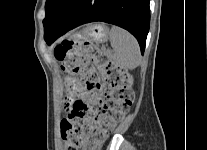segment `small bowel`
I'll use <instances>...</instances> for the list:
<instances>
[{
  "instance_id": "1",
  "label": "small bowel",
  "mask_w": 207,
  "mask_h": 150,
  "mask_svg": "<svg viewBox=\"0 0 207 150\" xmlns=\"http://www.w3.org/2000/svg\"><path fill=\"white\" fill-rule=\"evenodd\" d=\"M68 97H69V99L83 98L84 97L82 87L79 84V82L75 79H74V87H69Z\"/></svg>"
}]
</instances>
